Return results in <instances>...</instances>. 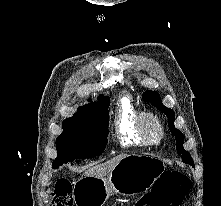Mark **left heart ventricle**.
Here are the masks:
<instances>
[{
  "instance_id": "left-heart-ventricle-1",
  "label": "left heart ventricle",
  "mask_w": 221,
  "mask_h": 206,
  "mask_svg": "<svg viewBox=\"0 0 221 206\" xmlns=\"http://www.w3.org/2000/svg\"><path fill=\"white\" fill-rule=\"evenodd\" d=\"M148 131H149V134L151 136L152 139H157L158 138V135H159V131L158 129L156 128L155 125L151 124L149 125L148 127Z\"/></svg>"
}]
</instances>
